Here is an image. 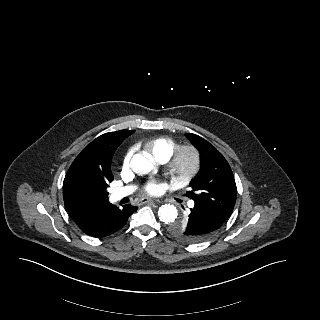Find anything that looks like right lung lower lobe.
I'll use <instances>...</instances> for the list:
<instances>
[{
    "mask_svg": "<svg viewBox=\"0 0 320 320\" xmlns=\"http://www.w3.org/2000/svg\"><path fill=\"white\" fill-rule=\"evenodd\" d=\"M138 208L130 204L119 209L108 201L97 205L69 209L77 226L87 235L97 238L109 236L124 227L128 218Z\"/></svg>",
    "mask_w": 320,
    "mask_h": 320,
    "instance_id": "right-lung-lower-lobe-1",
    "label": "right lung lower lobe"
}]
</instances>
